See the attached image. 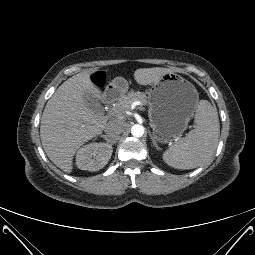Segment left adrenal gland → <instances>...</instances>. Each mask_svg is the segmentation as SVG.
Listing matches in <instances>:
<instances>
[{
  "label": "left adrenal gland",
  "mask_w": 255,
  "mask_h": 255,
  "mask_svg": "<svg viewBox=\"0 0 255 255\" xmlns=\"http://www.w3.org/2000/svg\"><path fill=\"white\" fill-rule=\"evenodd\" d=\"M151 136V135H150ZM151 140H152V142H153V145L155 146V147H157V145H156V143L154 142V140H153V137L151 136Z\"/></svg>",
  "instance_id": "a2214340"
}]
</instances>
